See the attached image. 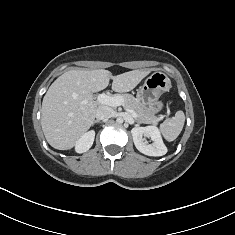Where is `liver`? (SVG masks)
Returning <instances> with one entry per match:
<instances>
[{"instance_id":"liver-1","label":"liver","mask_w":235,"mask_h":235,"mask_svg":"<svg viewBox=\"0 0 235 235\" xmlns=\"http://www.w3.org/2000/svg\"><path fill=\"white\" fill-rule=\"evenodd\" d=\"M149 73L133 70L113 76L105 69H76L59 76L42 101L41 126L47 142L58 150L73 148L94 123L98 104L93 93L105 89L110 79L113 91L129 92Z\"/></svg>"}]
</instances>
